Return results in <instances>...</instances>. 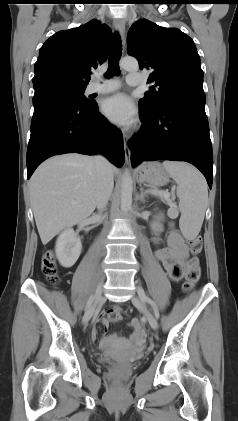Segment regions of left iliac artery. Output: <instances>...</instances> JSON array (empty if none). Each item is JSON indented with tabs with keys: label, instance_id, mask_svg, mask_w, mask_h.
I'll return each instance as SVG.
<instances>
[{
	"label": "left iliac artery",
	"instance_id": "1",
	"mask_svg": "<svg viewBox=\"0 0 238 421\" xmlns=\"http://www.w3.org/2000/svg\"><path fill=\"white\" fill-rule=\"evenodd\" d=\"M137 291H138V295H139L140 299L142 300V302L148 303L153 308L154 315H155L156 319H158L160 314H159V310H158L155 302L145 294V291L143 290L142 287H138Z\"/></svg>",
	"mask_w": 238,
	"mask_h": 421
}]
</instances>
